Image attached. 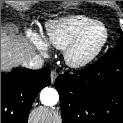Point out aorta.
<instances>
[{
    "instance_id": "1",
    "label": "aorta",
    "mask_w": 123,
    "mask_h": 123,
    "mask_svg": "<svg viewBox=\"0 0 123 123\" xmlns=\"http://www.w3.org/2000/svg\"><path fill=\"white\" fill-rule=\"evenodd\" d=\"M40 100L45 106H54L59 101V94L56 89L46 87L40 92Z\"/></svg>"
}]
</instances>
